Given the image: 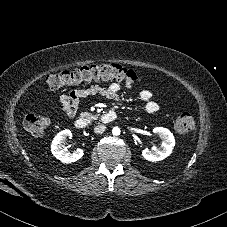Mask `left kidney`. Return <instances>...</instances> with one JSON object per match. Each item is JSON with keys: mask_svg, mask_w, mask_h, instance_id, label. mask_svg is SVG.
Masks as SVG:
<instances>
[{"mask_svg": "<svg viewBox=\"0 0 227 227\" xmlns=\"http://www.w3.org/2000/svg\"><path fill=\"white\" fill-rule=\"evenodd\" d=\"M153 133L160 136L162 144L160 149L156 151H151L148 148L144 149L142 152L143 157L152 162H157L168 157L175 146V139L173 134L167 128L156 127L153 129Z\"/></svg>", "mask_w": 227, "mask_h": 227, "instance_id": "left-kidney-1", "label": "left kidney"}]
</instances>
